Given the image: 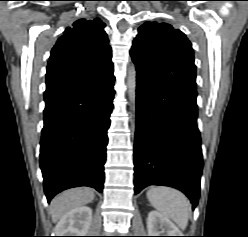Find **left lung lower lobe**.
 Here are the masks:
<instances>
[{"instance_id":"1","label":"left lung lower lobe","mask_w":248,"mask_h":237,"mask_svg":"<svg viewBox=\"0 0 248 237\" xmlns=\"http://www.w3.org/2000/svg\"><path fill=\"white\" fill-rule=\"evenodd\" d=\"M196 97V90L164 85L137 70L135 193L170 186L196 207L203 168Z\"/></svg>"}]
</instances>
